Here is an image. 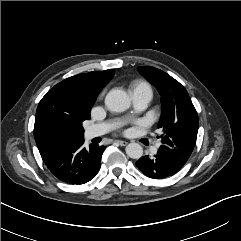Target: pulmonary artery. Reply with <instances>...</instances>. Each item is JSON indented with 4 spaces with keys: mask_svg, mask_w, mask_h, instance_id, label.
Segmentation results:
<instances>
[{
    "mask_svg": "<svg viewBox=\"0 0 241 241\" xmlns=\"http://www.w3.org/2000/svg\"><path fill=\"white\" fill-rule=\"evenodd\" d=\"M135 111L143 110L147 107L152 98V92L148 89H139L132 92ZM115 126V123L105 122L92 125L85 130V138L91 139L103 135ZM157 149L155 148L154 151Z\"/></svg>",
    "mask_w": 241,
    "mask_h": 241,
    "instance_id": "e3ab8cb5",
    "label": "pulmonary artery"
}]
</instances>
